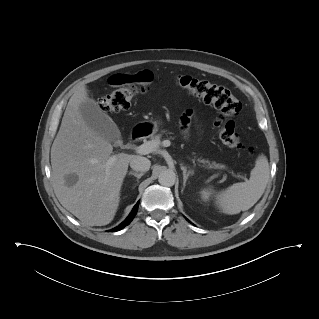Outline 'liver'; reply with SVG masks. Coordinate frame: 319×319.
Wrapping results in <instances>:
<instances>
[{
	"mask_svg": "<svg viewBox=\"0 0 319 319\" xmlns=\"http://www.w3.org/2000/svg\"><path fill=\"white\" fill-rule=\"evenodd\" d=\"M89 100L85 86L70 98L51 147L52 183L64 208L88 226L109 224L118 209L120 190L134 155H112L113 146L85 123L80 105ZM115 158L112 164L108 160ZM77 176L72 186L66 177Z\"/></svg>",
	"mask_w": 319,
	"mask_h": 319,
	"instance_id": "liver-1",
	"label": "liver"
}]
</instances>
